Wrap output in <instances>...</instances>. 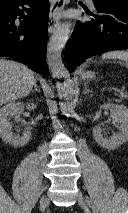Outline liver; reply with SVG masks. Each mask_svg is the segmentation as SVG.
Instances as JSON below:
<instances>
[{
    "mask_svg": "<svg viewBox=\"0 0 128 213\" xmlns=\"http://www.w3.org/2000/svg\"><path fill=\"white\" fill-rule=\"evenodd\" d=\"M36 79L27 66L6 59H0V106L27 96Z\"/></svg>",
    "mask_w": 128,
    "mask_h": 213,
    "instance_id": "1",
    "label": "liver"
}]
</instances>
